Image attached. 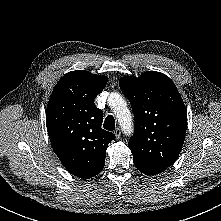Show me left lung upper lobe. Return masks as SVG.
<instances>
[{"label": "left lung upper lobe", "instance_id": "left-lung-upper-lobe-1", "mask_svg": "<svg viewBox=\"0 0 221 221\" xmlns=\"http://www.w3.org/2000/svg\"><path fill=\"white\" fill-rule=\"evenodd\" d=\"M119 85L135 118V132L128 144L134 164L170 167L180 154L187 128V111L176 86L155 71L139 78L122 77Z\"/></svg>", "mask_w": 221, "mask_h": 221}]
</instances>
